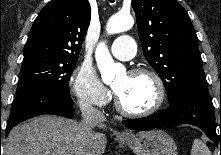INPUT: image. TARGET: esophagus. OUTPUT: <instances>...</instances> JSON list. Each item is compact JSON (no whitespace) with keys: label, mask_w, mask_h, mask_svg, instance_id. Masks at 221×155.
Listing matches in <instances>:
<instances>
[{"label":"esophagus","mask_w":221,"mask_h":155,"mask_svg":"<svg viewBox=\"0 0 221 155\" xmlns=\"http://www.w3.org/2000/svg\"><path fill=\"white\" fill-rule=\"evenodd\" d=\"M121 135H122V136H128V135H129V133H128V132H126V131H123V132L121 133Z\"/></svg>","instance_id":"1"}]
</instances>
